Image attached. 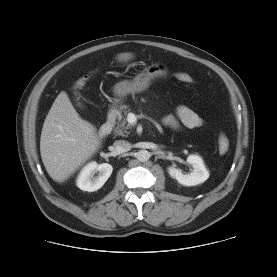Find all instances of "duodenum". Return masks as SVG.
<instances>
[{
	"label": "duodenum",
	"mask_w": 277,
	"mask_h": 277,
	"mask_svg": "<svg viewBox=\"0 0 277 277\" xmlns=\"http://www.w3.org/2000/svg\"><path fill=\"white\" fill-rule=\"evenodd\" d=\"M118 115H119V111L117 108H113L110 110L105 123L101 126L99 130V134L101 137H106L109 134H111L115 126V122L118 118Z\"/></svg>",
	"instance_id": "1"
}]
</instances>
